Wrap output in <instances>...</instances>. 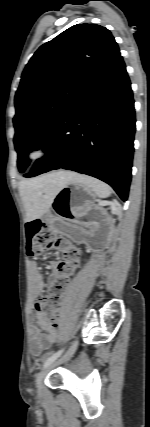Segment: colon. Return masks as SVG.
<instances>
[{"label": "colon", "instance_id": "1", "mask_svg": "<svg viewBox=\"0 0 150 427\" xmlns=\"http://www.w3.org/2000/svg\"><path fill=\"white\" fill-rule=\"evenodd\" d=\"M27 254L36 258L44 251L58 249L62 253V260L58 269V276L51 282L49 293L39 299L36 308L44 314L48 323L57 327L59 325V312L61 309L62 293L69 284V276L76 268L80 250L72 245L63 236L55 234L41 220H34L26 227Z\"/></svg>", "mask_w": 150, "mask_h": 427}]
</instances>
